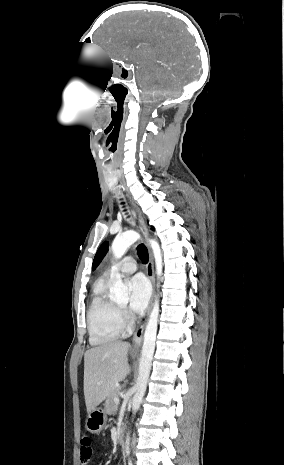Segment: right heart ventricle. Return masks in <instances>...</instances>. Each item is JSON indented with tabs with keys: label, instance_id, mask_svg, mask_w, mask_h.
<instances>
[{
	"label": "right heart ventricle",
	"instance_id": "e07e8e85",
	"mask_svg": "<svg viewBox=\"0 0 284 465\" xmlns=\"http://www.w3.org/2000/svg\"><path fill=\"white\" fill-rule=\"evenodd\" d=\"M89 341L93 346H107L120 339L123 321L118 307L111 302L105 292V287L95 288L86 314Z\"/></svg>",
	"mask_w": 284,
	"mask_h": 465
}]
</instances>
